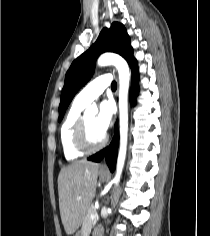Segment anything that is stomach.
Wrapping results in <instances>:
<instances>
[{
	"label": "stomach",
	"mask_w": 210,
	"mask_h": 236,
	"mask_svg": "<svg viewBox=\"0 0 210 236\" xmlns=\"http://www.w3.org/2000/svg\"><path fill=\"white\" fill-rule=\"evenodd\" d=\"M107 179H108V176H107V175H105V174H103V173H100V180L105 181V180H107Z\"/></svg>",
	"instance_id": "stomach-1"
}]
</instances>
